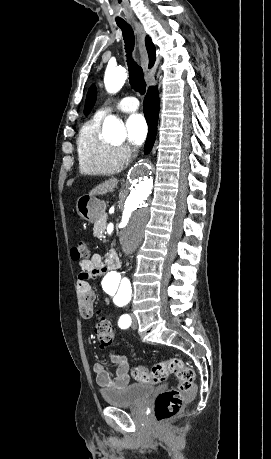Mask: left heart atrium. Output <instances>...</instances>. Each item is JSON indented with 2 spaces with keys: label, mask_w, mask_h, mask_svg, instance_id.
<instances>
[{
  "label": "left heart atrium",
  "mask_w": 271,
  "mask_h": 459,
  "mask_svg": "<svg viewBox=\"0 0 271 459\" xmlns=\"http://www.w3.org/2000/svg\"><path fill=\"white\" fill-rule=\"evenodd\" d=\"M127 140L133 146H140L147 137L148 128L141 114H133L127 119Z\"/></svg>",
  "instance_id": "39dd6f15"
}]
</instances>
